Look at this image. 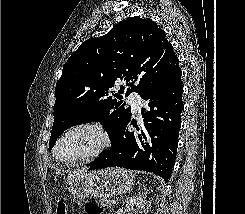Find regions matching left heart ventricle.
Segmentation results:
<instances>
[{
  "instance_id": "1",
  "label": "left heart ventricle",
  "mask_w": 245,
  "mask_h": 214,
  "mask_svg": "<svg viewBox=\"0 0 245 214\" xmlns=\"http://www.w3.org/2000/svg\"><path fill=\"white\" fill-rule=\"evenodd\" d=\"M98 137L91 131L80 130L67 135L59 144L57 156L71 159L90 152L96 147Z\"/></svg>"
}]
</instances>
